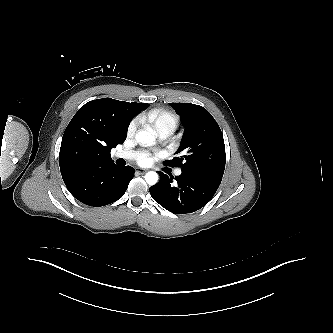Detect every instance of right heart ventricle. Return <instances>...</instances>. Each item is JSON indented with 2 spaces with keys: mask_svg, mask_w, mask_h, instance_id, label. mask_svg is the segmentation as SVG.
I'll return each mask as SVG.
<instances>
[{
  "mask_svg": "<svg viewBox=\"0 0 333 333\" xmlns=\"http://www.w3.org/2000/svg\"><path fill=\"white\" fill-rule=\"evenodd\" d=\"M146 119L152 123L159 133L165 130L173 132L179 123V118L176 113L162 108L149 111L146 115Z\"/></svg>",
  "mask_w": 333,
  "mask_h": 333,
  "instance_id": "1",
  "label": "right heart ventricle"
}]
</instances>
